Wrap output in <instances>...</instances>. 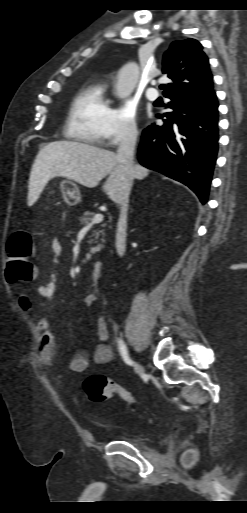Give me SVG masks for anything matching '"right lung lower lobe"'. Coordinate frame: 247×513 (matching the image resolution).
I'll return each instance as SVG.
<instances>
[{
  "label": "right lung lower lobe",
  "mask_w": 247,
  "mask_h": 513,
  "mask_svg": "<svg viewBox=\"0 0 247 513\" xmlns=\"http://www.w3.org/2000/svg\"><path fill=\"white\" fill-rule=\"evenodd\" d=\"M171 112L162 126L143 130L138 157L142 165L190 187L205 204L218 151V101L214 91L166 96Z\"/></svg>",
  "instance_id": "right-lung-lower-lobe-1"
}]
</instances>
